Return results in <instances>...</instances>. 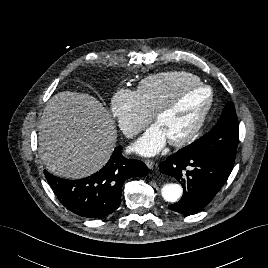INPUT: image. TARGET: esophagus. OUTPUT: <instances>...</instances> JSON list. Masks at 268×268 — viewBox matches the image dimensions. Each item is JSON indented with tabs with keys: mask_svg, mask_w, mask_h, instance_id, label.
Returning a JSON list of instances; mask_svg holds the SVG:
<instances>
[{
	"mask_svg": "<svg viewBox=\"0 0 268 268\" xmlns=\"http://www.w3.org/2000/svg\"><path fill=\"white\" fill-rule=\"evenodd\" d=\"M145 164H146V166H147L149 169H153L155 163H154V161L151 160V159H146V160H145Z\"/></svg>",
	"mask_w": 268,
	"mask_h": 268,
	"instance_id": "1",
	"label": "esophagus"
}]
</instances>
